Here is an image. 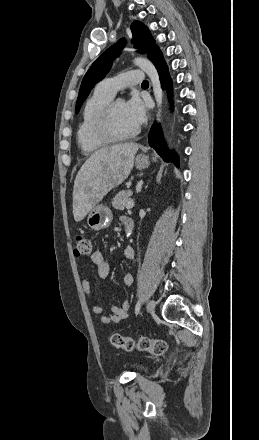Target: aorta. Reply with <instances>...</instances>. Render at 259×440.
I'll list each match as a JSON object with an SVG mask.
<instances>
[{
	"label": "aorta",
	"instance_id": "aorta-1",
	"mask_svg": "<svg viewBox=\"0 0 259 440\" xmlns=\"http://www.w3.org/2000/svg\"><path fill=\"white\" fill-rule=\"evenodd\" d=\"M134 64L138 66L141 70H143L148 77L150 78L153 94L156 100L157 104V114L156 119L158 122L161 121V107H162V100H163V91L161 87V82L159 79L158 72L154 65L146 58H136L133 60Z\"/></svg>",
	"mask_w": 259,
	"mask_h": 440
}]
</instances>
